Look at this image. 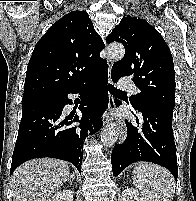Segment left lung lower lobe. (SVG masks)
Returning a JSON list of instances; mask_svg holds the SVG:
<instances>
[{
    "label": "left lung lower lobe",
    "mask_w": 196,
    "mask_h": 201,
    "mask_svg": "<svg viewBox=\"0 0 196 201\" xmlns=\"http://www.w3.org/2000/svg\"><path fill=\"white\" fill-rule=\"evenodd\" d=\"M112 80L117 82L118 79L112 77ZM121 104L119 101L118 106ZM135 110L141 113L140 117ZM132 113L137 124L142 125L138 127L126 121L127 137L122 144L115 145L111 155L113 175L118 176L134 162L148 161L166 167L177 180L176 146L172 130L173 109L158 103L145 102Z\"/></svg>",
    "instance_id": "1"
}]
</instances>
